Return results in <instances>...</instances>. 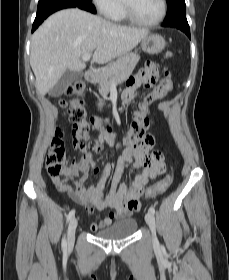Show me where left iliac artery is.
I'll return each instance as SVG.
<instances>
[{"mask_svg": "<svg viewBox=\"0 0 229 280\" xmlns=\"http://www.w3.org/2000/svg\"><path fill=\"white\" fill-rule=\"evenodd\" d=\"M149 212H151L152 214H154V213H155V208H154L153 206H151V207L149 208Z\"/></svg>", "mask_w": 229, "mask_h": 280, "instance_id": "left-iliac-artery-1", "label": "left iliac artery"}]
</instances>
